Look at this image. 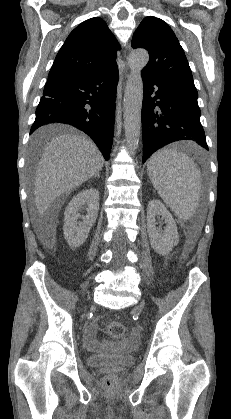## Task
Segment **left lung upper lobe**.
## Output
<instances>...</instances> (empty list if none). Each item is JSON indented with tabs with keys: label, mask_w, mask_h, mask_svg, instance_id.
Masks as SVG:
<instances>
[{
	"label": "left lung upper lobe",
	"mask_w": 231,
	"mask_h": 419,
	"mask_svg": "<svg viewBox=\"0 0 231 419\" xmlns=\"http://www.w3.org/2000/svg\"><path fill=\"white\" fill-rule=\"evenodd\" d=\"M133 48L149 52L142 73L194 86L185 53L172 29L163 20L149 16L142 20L132 38Z\"/></svg>",
	"instance_id": "left-lung-upper-lobe-1"
}]
</instances>
